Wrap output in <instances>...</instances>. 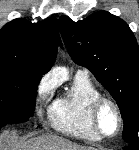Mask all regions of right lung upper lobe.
Here are the masks:
<instances>
[{"instance_id":"cb5924a9","label":"right lung upper lobe","mask_w":139,"mask_h":150,"mask_svg":"<svg viewBox=\"0 0 139 150\" xmlns=\"http://www.w3.org/2000/svg\"><path fill=\"white\" fill-rule=\"evenodd\" d=\"M60 43L58 21L15 19L0 31V67H16L42 76L55 62Z\"/></svg>"}]
</instances>
